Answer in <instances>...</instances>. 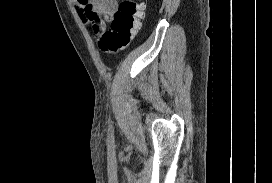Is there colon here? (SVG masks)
<instances>
[{
  "instance_id": "1",
  "label": "colon",
  "mask_w": 272,
  "mask_h": 183,
  "mask_svg": "<svg viewBox=\"0 0 272 183\" xmlns=\"http://www.w3.org/2000/svg\"><path fill=\"white\" fill-rule=\"evenodd\" d=\"M145 5L136 0H122L113 17L111 28L100 41V48L107 54L125 50L141 27Z\"/></svg>"
}]
</instances>
